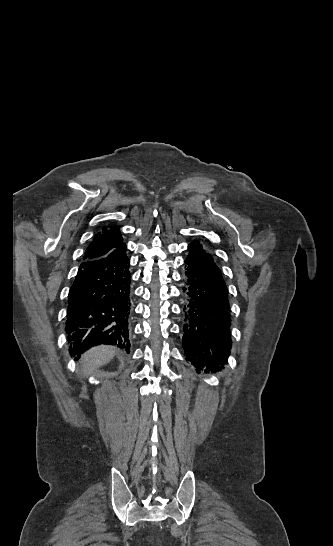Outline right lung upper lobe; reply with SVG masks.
<instances>
[{
	"instance_id": "cb5924a9",
	"label": "right lung upper lobe",
	"mask_w": 333,
	"mask_h": 546,
	"mask_svg": "<svg viewBox=\"0 0 333 546\" xmlns=\"http://www.w3.org/2000/svg\"><path fill=\"white\" fill-rule=\"evenodd\" d=\"M121 245H124V243L119 227H105L95 236L93 242L87 248L83 259L92 260L100 258Z\"/></svg>"
}]
</instances>
